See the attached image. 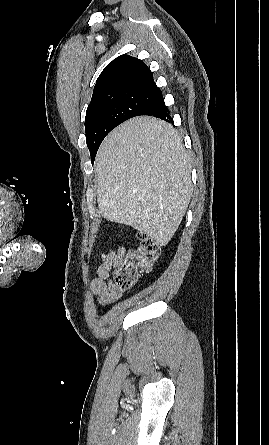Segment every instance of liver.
<instances>
[{
	"mask_svg": "<svg viewBox=\"0 0 269 445\" xmlns=\"http://www.w3.org/2000/svg\"><path fill=\"white\" fill-rule=\"evenodd\" d=\"M191 168L170 124L146 116L130 119L105 138L96 155L99 212L165 246L191 200Z\"/></svg>",
	"mask_w": 269,
	"mask_h": 445,
	"instance_id": "obj_1",
	"label": "liver"
}]
</instances>
